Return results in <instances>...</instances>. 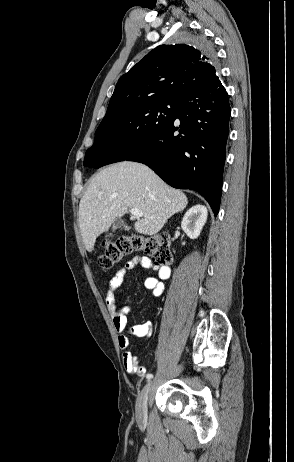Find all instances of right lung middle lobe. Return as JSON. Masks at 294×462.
<instances>
[{
  "instance_id": "obj_1",
  "label": "right lung middle lobe",
  "mask_w": 294,
  "mask_h": 462,
  "mask_svg": "<svg viewBox=\"0 0 294 462\" xmlns=\"http://www.w3.org/2000/svg\"><path fill=\"white\" fill-rule=\"evenodd\" d=\"M177 38L199 50L214 52L212 44L202 34L183 31ZM181 101L180 96H161L105 115L85 158L96 153L103 154L105 165L125 160L174 118Z\"/></svg>"
}]
</instances>
